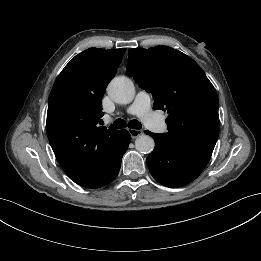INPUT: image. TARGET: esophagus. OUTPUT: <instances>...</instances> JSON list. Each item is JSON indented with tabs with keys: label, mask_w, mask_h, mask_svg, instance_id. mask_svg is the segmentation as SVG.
Here are the masks:
<instances>
[{
	"label": "esophagus",
	"mask_w": 261,
	"mask_h": 261,
	"mask_svg": "<svg viewBox=\"0 0 261 261\" xmlns=\"http://www.w3.org/2000/svg\"><path fill=\"white\" fill-rule=\"evenodd\" d=\"M128 131L131 135V138H133V139H135L143 134V131L139 130V129H129Z\"/></svg>",
	"instance_id": "obj_1"
}]
</instances>
